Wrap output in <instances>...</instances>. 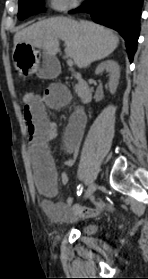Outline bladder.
<instances>
[{"label":"bladder","instance_id":"bladder-1","mask_svg":"<svg viewBox=\"0 0 148 279\" xmlns=\"http://www.w3.org/2000/svg\"><path fill=\"white\" fill-rule=\"evenodd\" d=\"M80 232L87 236H94L97 234L98 226L95 223H86L80 227Z\"/></svg>","mask_w":148,"mask_h":279}]
</instances>
